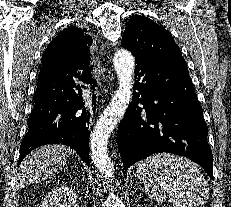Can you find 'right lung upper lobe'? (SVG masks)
<instances>
[{
	"label": "right lung upper lobe",
	"instance_id": "right-lung-upper-lobe-1",
	"mask_svg": "<svg viewBox=\"0 0 231 207\" xmlns=\"http://www.w3.org/2000/svg\"><path fill=\"white\" fill-rule=\"evenodd\" d=\"M91 45L92 38L87 30H76L75 26H70L50 42L42 55V65L69 66L70 70L76 71L80 69L79 64L89 61Z\"/></svg>",
	"mask_w": 231,
	"mask_h": 207
}]
</instances>
